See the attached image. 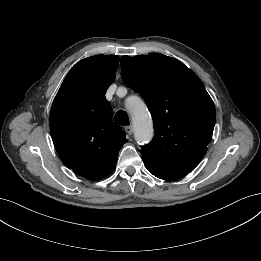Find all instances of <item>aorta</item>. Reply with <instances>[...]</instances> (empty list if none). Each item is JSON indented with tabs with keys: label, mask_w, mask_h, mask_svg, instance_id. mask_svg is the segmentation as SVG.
I'll use <instances>...</instances> for the list:
<instances>
[{
	"label": "aorta",
	"mask_w": 261,
	"mask_h": 261,
	"mask_svg": "<svg viewBox=\"0 0 261 261\" xmlns=\"http://www.w3.org/2000/svg\"><path fill=\"white\" fill-rule=\"evenodd\" d=\"M126 105L131 114L135 140L141 144L150 142L154 130L147 106L137 97L130 98Z\"/></svg>",
	"instance_id": "762f6f07"
}]
</instances>
